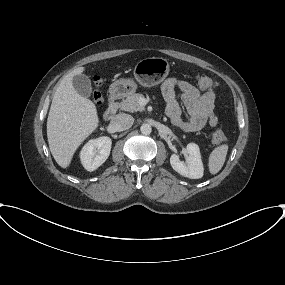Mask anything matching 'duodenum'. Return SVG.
Here are the masks:
<instances>
[{
  "instance_id": "duodenum-1",
  "label": "duodenum",
  "mask_w": 285,
  "mask_h": 285,
  "mask_svg": "<svg viewBox=\"0 0 285 285\" xmlns=\"http://www.w3.org/2000/svg\"><path fill=\"white\" fill-rule=\"evenodd\" d=\"M118 110V105L115 95H111L108 101V105L103 113V117L106 121H110L115 116Z\"/></svg>"
}]
</instances>
